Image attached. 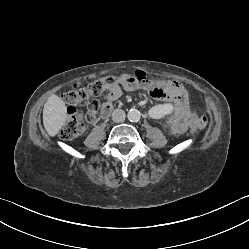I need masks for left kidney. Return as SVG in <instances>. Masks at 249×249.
Instances as JSON below:
<instances>
[{"label": "left kidney", "instance_id": "left-kidney-1", "mask_svg": "<svg viewBox=\"0 0 249 249\" xmlns=\"http://www.w3.org/2000/svg\"><path fill=\"white\" fill-rule=\"evenodd\" d=\"M176 104L172 100L160 101L154 105L147 113V120L154 118L156 121H161L163 118L169 117L176 111Z\"/></svg>", "mask_w": 249, "mask_h": 249}]
</instances>
